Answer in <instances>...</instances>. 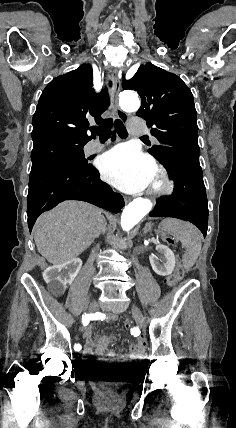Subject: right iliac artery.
Returning <instances> with one entry per match:
<instances>
[{
    "instance_id": "obj_1",
    "label": "right iliac artery",
    "mask_w": 236,
    "mask_h": 428,
    "mask_svg": "<svg viewBox=\"0 0 236 428\" xmlns=\"http://www.w3.org/2000/svg\"><path fill=\"white\" fill-rule=\"evenodd\" d=\"M89 322H90V315L89 314H86V313H84V315H82V323H83V325L84 326H87L88 324H89ZM81 345L80 344H75L74 345V350L75 351H80L81 350Z\"/></svg>"
}]
</instances>
